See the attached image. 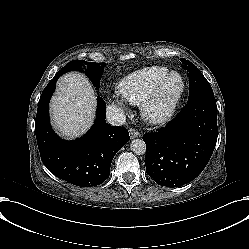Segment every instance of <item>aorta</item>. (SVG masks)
I'll return each mask as SVG.
<instances>
[{
  "mask_svg": "<svg viewBox=\"0 0 249 249\" xmlns=\"http://www.w3.org/2000/svg\"><path fill=\"white\" fill-rule=\"evenodd\" d=\"M131 151L136 155L146 154L147 146L142 139H134L130 143Z\"/></svg>",
  "mask_w": 249,
  "mask_h": 249,
  "instance_id": "762f6f07",
  "label": "aorta"
}]
</instances>
